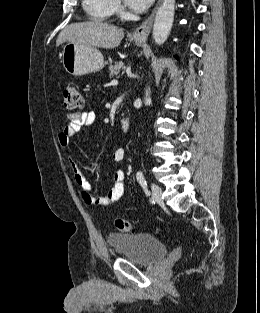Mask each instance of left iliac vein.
Here are the masks:
<instances>
[{
  "label": "left iliac vein",
  "instance_id": "left-iliac-vein-1",
  "mask_svg": "<svg viewBox=\"0 0 260 313\" xmlns=\"http://www.w3.org/2000/svg\"><path fill=\"white\" fill-rule=\"evenodd\" d=\"M151 189H152V196H153V199H154L155 201H161V200H162V198H161L162 189L160 188V186H158V185L155 184V183H152Z\"/></svg>",
  "mask_w": 260,
  "mask_h": 313
}]
</instances>
